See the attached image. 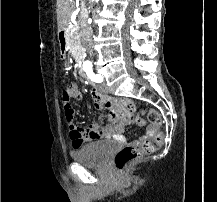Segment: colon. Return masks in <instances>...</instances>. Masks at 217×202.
<instances>
[{"label":"colon","mask_w":217,"mask_h":202,"mask_svg":"<svg viewBox=\"0 0 217 202\" xmlns=\"http://www.w3.org/2000/svg\"><path fill=\"white\" fill-rule=\"evenodd\" d=\"M58 96H61V105L65 114V122L69 128L73 127L74 117L73 112L70 108V98H71V90L65 86L61 89V91L57 92ZM147 118L150 123L159 126L161 124V116L157 110H153L150 108L148 111ZM137 126H148V121H145L144 118H136ZM154 141H146L144 142L142 149L134 148L132 146H125L120 150L114 157V165L120 170L121 176L125 174V168L132 162L138 161L143 154L149 155L155 151V148L159 142H163V133H156V137Z\"/></svg>","instance_id":"1"}]
</instances>
